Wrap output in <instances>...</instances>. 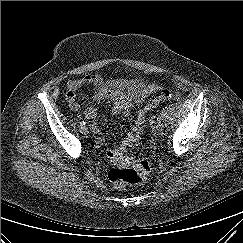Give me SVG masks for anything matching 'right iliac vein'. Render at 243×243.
<instances>
[{"label":"right iliac vein","mask_w":243,"mask_h":243,"mask_svg":"<svg viewBox=\"0 0 243 243\" xmlns=\"http://www.w3.org/2000/svg\"><path fill=\"white\" fill-rule=\"evenodd\" d=\"M80 132H81L82 134H84V135H86V134L89 133L88 128H87L86 126H82V127L80 128Z\"/></svg>","instance_id":"right-iliac-vein-1"}]
</instances>
